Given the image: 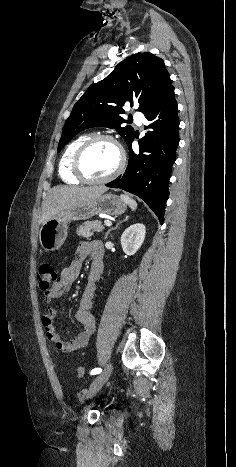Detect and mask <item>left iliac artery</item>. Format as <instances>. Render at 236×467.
<instances>
[{"mask_svg": "<svg viewBox=\"0 0 236 467\" xmlns=\"http://www.w3.org/2000/svg\"><path fill=\"white\" fill-rule=\"evenodd\" d=\"M101 372H102V369H101V368H95V369H93V370L90 372V374H91V375H96V374H99V373H101Z\"/></svg>", "mask_w": 236, "mask_h": 467, "instance_id": "obj_1", "label": "left iliac artery"}]
</instances>
